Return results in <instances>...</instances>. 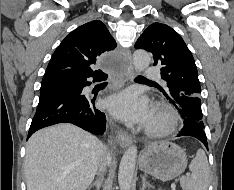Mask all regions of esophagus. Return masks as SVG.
<instances>
[{
  "mask_svg": "<svg viewBox=\"0 0 234 190\" xmlns=\"http://www.w3.org/2000/svg\"><path fill=\"white\" fill-rule=\"evenodd\" d=\"M126 57L128 59H130V53L127 52L126 53ZM134 74V70L132 65L130 64L129 66H127V74H126V79H130ZM117 139H118V143L120 144V146H122L123 148L129 146L132 143V137L131 135H129L128 133H126L125 131L119 129L117 131Z\"/></svg>",
  "mask_w": 234,
  "mask_h": 190,
  "instance_id": "esophagus-1",
  "label": "esophagus"
}]
</instances>
